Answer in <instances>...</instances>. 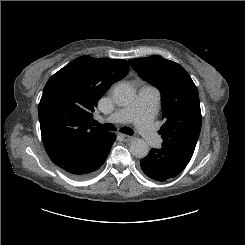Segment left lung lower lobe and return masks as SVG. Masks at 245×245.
I'll list each match as a JSON object with an SVG mask.
<instances>
[{"mask_svg":"<svg viewBox=\"0 0 245 245\" xmlns=\"http://www.w3.org/2000/svg\"><path fill=\"white\" fill-rule=\"evenodd\" d=\"M187 164L186 161L164 147L151 149L149 154L140 162L143 172L157 181H166L177 176Z\"/></svg>","mask_w":245,"mask_h":245,"instance_id":"left-lung-lower-lobe-1","label":"left lung lower lobe"}]
</instances>
